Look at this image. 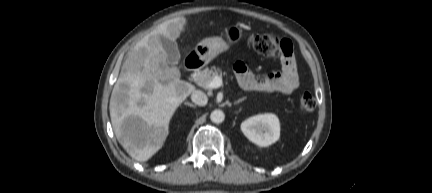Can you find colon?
<instances>
[{
  "label": "colon",
  "mask_w": 432,
  "mask_h": 193,
  "mask_svg": "<svg viewBox=\"0 0 432 193\" xmlns=\"http://www.w3.org/2000/svg\"><path fill=\"white\" fill-rule=\"evenodd\" d=\"M249 44L260 55L272 58H287L292 56V44L274 34H250L247 38ZM316 101L314 96L305 92L299 100V110L308 113L314 110Z\"/></svg>",
  "instance_id": "1"
}]
</instances>
